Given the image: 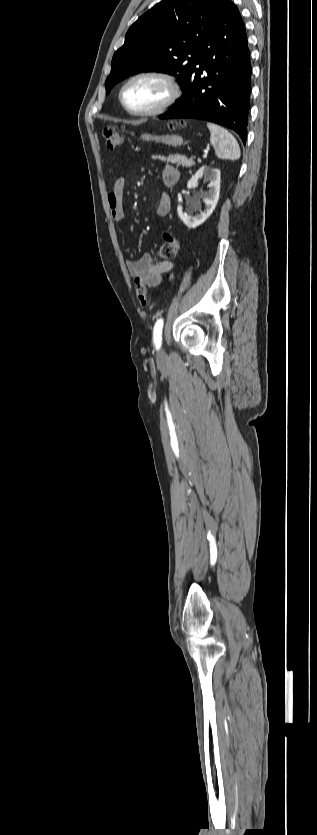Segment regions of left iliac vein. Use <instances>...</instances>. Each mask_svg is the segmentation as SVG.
I'll return each mask as SVG.
<instances>
[{
	"mask_svg": "<svg viewBox=\"0 0 317 835\" xmlns=\"http://www.w3.org/2000/svg\"><path fill=\"white\" fill-rule=\"evenodd\" d=\"M160 354H163V350H162V349L159 351V355H160Z\"/></svg>",
	"mask_w": 317,
	"mask_h": 835,
	"instance_id": "4c4485c4",
	"label": "left iliac vein"
}]
</instances>
